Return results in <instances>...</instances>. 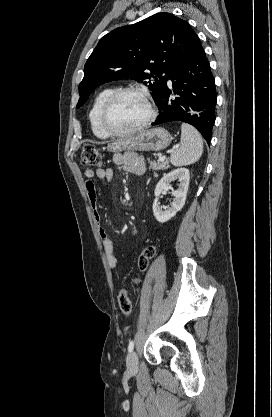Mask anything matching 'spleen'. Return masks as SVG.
Returning a JSON list of instances; mask_svg holds the SVG:
<instances>
[{"label":"spleen","mask_w":272,"mask_h":417,"mask_svg":"<svg viewBox=\"0 0 272 417\" xmlns=\"http://www.w3.org/2000/svg\"><path fill=\"white\" fill-rule=\"evenodd\" d=\"M203 153V139L199 132L191 125H181L180 147L173 150L170 156L172 165L186 166L197 162Z\"/></svg>","instance_id":"obj_1"}]
</instances>
